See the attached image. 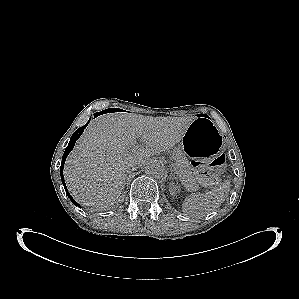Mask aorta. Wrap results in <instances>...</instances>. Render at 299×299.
<instances>
[{
	"label": "aorta",
	"instance_id": "1",
	"mask_svg": "<svg viewBox=\"0 0 299 299\" xmlns=\"http://www.w3.org/2000/svg\"><path fill=\"white\" fill-rule=\"evenodd\" d=\"M145 172L153 178H161L165 175L166 168L163 162L152 160L146 165Z\"/></svg>",
	"mask_w": 299,
	"mask_h": 299
}]
</instances>
